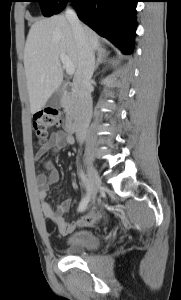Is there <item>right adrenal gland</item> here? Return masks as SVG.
I'll list each match as a JSON object with an SVG mask.
<instances>
[{"label":"right adrenal gland","instance_id":"1","mask_svg":"<svg viewBox=\"0 0 181 300\" xmlns=\"http://www.w3.org/2000/svg\"><path fill=\"white\" fill-rule=\"evenodd\" d=\"M108 52L106 51H98L97 53V59H96V63H95V67H94V71L97 70L98 66L100 63L104 62L106 57L108 56Z\"/></svg>","mask_w":181,"mask_h":300}]
</instances>
